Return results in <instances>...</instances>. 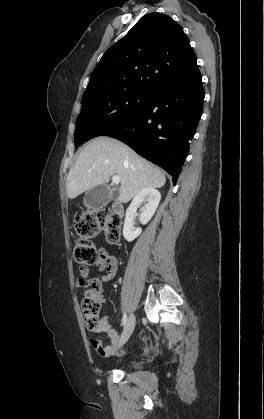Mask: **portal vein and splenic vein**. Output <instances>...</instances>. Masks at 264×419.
<instances>
[{
    "instance_id": "portal-vein-and-splenic-vein-1",
    "label": "portal vein and splenic vein",
    "mask_w": 264,
    "mask_h": 419,
    "mask_svg": "<svg viewBox=\"0 0 264 419\" xmlns=\"http://www.w3.org/2000/svg\"><path fill=\"white\" fill-rule=\"evenodd\" d=\"M112 182H113L114 184H119V183H120V178H119V176H113V177H112Z\"/></svg>"
}]
</instances>
